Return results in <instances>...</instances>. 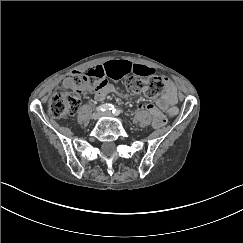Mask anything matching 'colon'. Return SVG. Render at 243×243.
Masks as SVG:
<instances>
[{
	"mask_svg": "<svg viewBox=\"0 0 243 243\" xmlns=\"http://www.w3.org/2000/svg\"><path fill=\"white\" fill-rule=\"evenodd\" d=\"M99 80L97 76L78 72L64 78L61 82V89L50 97L48 104L50 117L59 119L73 115L79 107L81 95L96 91L102 83ZM125 88L129 94L143 93L151 98L158 97L168 90L166 81L161 77L144 79L132 76L125 82ZM144 109L151 113L153 127L162 128L167 125V118L156 107L148 104L144 106Z\"/></svg>",
	"mask_w": 243,
	"mask_h": 243,
	"instance_id": "colon-1",
	"label": "colon"
}]
</instances>
